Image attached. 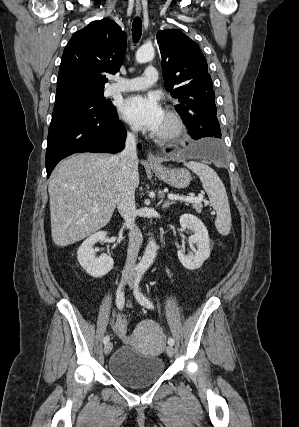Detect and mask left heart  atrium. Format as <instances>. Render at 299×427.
<instances>
[{"instance_id":"left-heart-atrium-1","label":"left heart atrium","mask_w":299,"mask_h":427,"mask_svg":"<svg viewBox=\"0 0 299 427\" xmlns=\"http://www.w3.org/2000/svg\"><path fill=\"white\" fill-rule=\"evenodd\" d=\"M120 112L134 127L152 132H158L165 119L163 108L155 96L128 97L121 103Z\"/></svg>"}]
</instances>
